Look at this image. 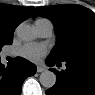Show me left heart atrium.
I'll use <instances>...</instances> for the list:
<instances>
[{
	"label": "left heart atrium",
	"mask_w": 95,
	"mask_h": 95,
	"mask_svg": "<svg viewBox=\"0 0 95 95\" xmlns=\"http://www.w3.org/2000/svg\"><path fill=\"white\" fill-rule=\"evenodd\" d=\"M20 54L32 62H39L46 54L47 48L40 44H26L20 49Z\"/></svg>",
	"instance_id": "obj_1"
}]
</instances>
